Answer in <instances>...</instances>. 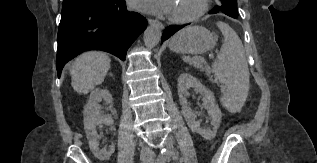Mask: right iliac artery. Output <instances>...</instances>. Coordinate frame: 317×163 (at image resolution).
<instances>
[{
	"label": "right iliac artery",
	"instance_id": "obj_1",
	"mask_svg": "<svg viewBox=\"0 0 317 163\" xmlns=\"http://www.w3.org/2000/svg\"><path fill=\"white\" fill-rule=\"evenodd\" d=\"M166 161L165 154L163 151L159 154L156 163H164Z\"/></svg>",
	"mask_w": 317,
	"mask_h": 163
}]
</instances>
